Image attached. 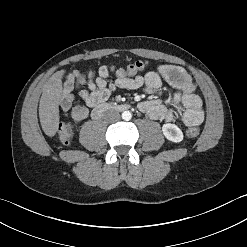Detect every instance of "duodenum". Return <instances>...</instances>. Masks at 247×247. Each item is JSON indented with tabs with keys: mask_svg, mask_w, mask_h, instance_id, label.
Wrapping results in <instances>:
<instances>
[{
	"mask_svg": "<svg viewBox=\"0 0 247 247\" xmlns=\"http://www.w3.org/2000/svg\"><path fill=\"white\" fill-rule=\"evenodd\" d=\"M129 106L126 104L122 105H111L108 103H103L98 105L92 112V118L93 119H100L106 112L112 111V110H126Z\"/></svg>",
	"mask_w": 247,
	"mask_h": 247,
	"instance_id": "1",
	"label": "duodenum"
}]
</instances>
